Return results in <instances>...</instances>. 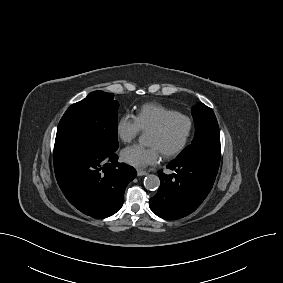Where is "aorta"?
<instances>
[{"label":"aorta","instance_id":"1","mask_svg":"<svg viewBox=\"0 0 283 283\" xmlns=\"http://www.w3.org/2000/svg\"><path fill=\"white\" fill-rule=\"evenodd\" d=\"M139 142L140 143H143L144 142V139L143 137H141L139 139ZM144 186L147 190H150V191H155L159 188L160 186V179L158 176L154 175V174H149L145 177L144 179Z\"/></svg>","mask_w":283,"mask_h":283}]
</instances>
